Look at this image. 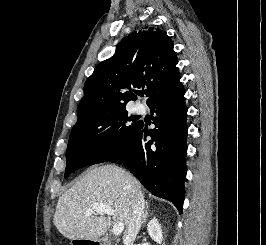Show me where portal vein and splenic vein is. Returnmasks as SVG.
<instances>
[{"mask_svg": "<svg viewBox=\"0 0 266 245\" xmlns=\"http://www.w3.org/2000/svg\"><path fill=\"white\" fill-rule=\"evenodd\" d=\"M105 213V215H113V209L112 207H108V205H102V203H95L93 209H88V211H86V213ZM124 227H123V223H115L114 227H113V235H121L122 231H123Z\"/></svg>", "mask_w": 266, "mask_h": 245, "instance_id": "1", "label": "portal vein and splenic vein"}]
</instances>
